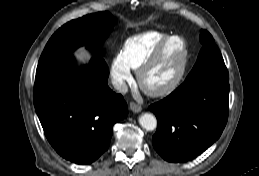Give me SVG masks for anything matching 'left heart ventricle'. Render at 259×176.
I'll list each match as a JSON object with an SVG mask.
<instances>
[{
  "instance_id": "obj_1",
  "label": "left heart ventricle",
  "mask_w": 259,
  "mask_h": 176,
  "mask_svg": "<svg viewBox=\"0 0 259 176\" xmlns=\"http://www.w3.org/2000/svg\"><path fill=\"white\" fill-rule=\"evenodd\" d=\"M180 41L174 39L168 43L160 60L145 77L146 84L151 87L161 86L175 75L180 60Z\"/></svg>"
}]
</instances>
